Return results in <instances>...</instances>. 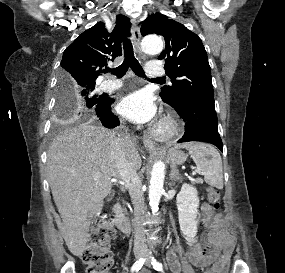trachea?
I'll return each mask as SVG.
<instances>
[{"label": "trachea", "mask_w": 285, "mask_h": 273, "mask_svg": "<svg viewBox=\"0 0 285 273\" xmlns=\"http://www.w3.org/2000/svg\"><path fill=\"white\" fill-rule=\"evenodd\" d=\"M123 48H124V57H125L123 63L121 65H119L118 67L113 68V69L107 68L103 71V73L111 72L116 77L122 78L126 74V72L128 71L129 67H131L132 71L137 76L146 77L144 70L142 69L140 63L138 62V60L134 56L133 47H132L130 40L125 39L123 41ZM152 80L163 81L164 79L154 78Z\"/></svg>", "instance_id": "obj_1"}]
</instances>
